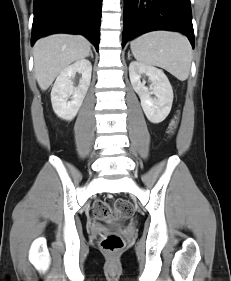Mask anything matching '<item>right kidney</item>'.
<instances>
[{
    "instance_id": "1",
    "label": "right kidney",
    "mask_w": 231,
    "mask_h": 281,
    "mask_svg": "<svg viewBox=\"0 0 231 281\" xmlns=\"http://www.w3.org/2000/svg\"><path fill=\"white\" fill-rule=\"evenodd\" d=\"M77 72L82 78L74 87L72 79ZM91 72L92 65L86 59L78 60L60 72L51 91L52 107L58 117L72 120L77 115L90 85ZM70 97L71 101H68Z\"/></svg>"
}]
</instances>
